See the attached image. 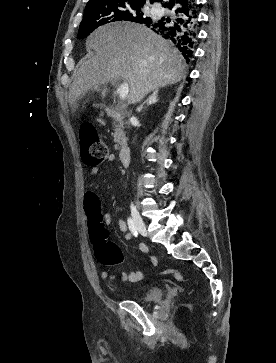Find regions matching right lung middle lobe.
Here are the masks:
<instances>
[{"mask_svg":"<svg viewBox=\"0 0 276 363\" xmlns=\"http://www.w3.org/2000/svg\"><path fill=\"white\" fill-rule=\"evenodd\" d=\"M144 4L133 1L110 0L86 6L78 38L89 35L101 25L115 21L125 20L142 23L147 18L142 12Z\"/></svg>","mask_w":276,"mask_h":363,"instance_id":"1","label":"right lung middle lobe"}]
</instances>
